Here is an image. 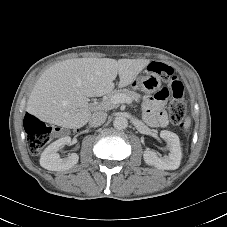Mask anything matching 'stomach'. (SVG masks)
<instances>
[{
  "mask_svg": "<svg viewBox=\"0 0 227 227\" xmlns=\"http://www.w3.org/2000/svg\"><path fill=\"white\" fill-rule=\"evenodd\" d=\"M131 87L144 93H154L161 87V79L157 73L148 72L146 76L135 78Z\"/></svg>",
  "mask_w": 227,
  "mask_h": 227,
  "instance_id": "stomach-1",
  "label": "stomach"
}]
</instances>
